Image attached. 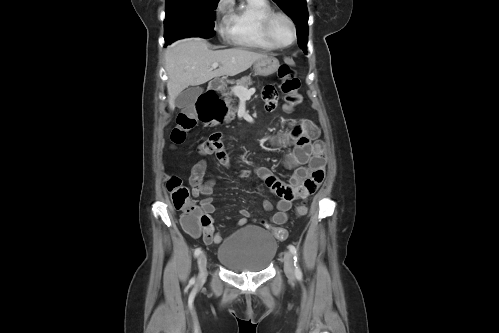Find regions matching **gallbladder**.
I'll return each mask as SVG.
<instances>
[{
  "mask_svg": "<svg viewBox=\"0 0 499 333\" xmlns=\"http://www.w3.org/2000/svg\"><path fill=\"white\" fill-rule=\"evenodd\" d=\"M202 92L203 88L198 86H193L184 90L176 97L175 106L180 109L191 108Z\"/></svg>",
  "mask_w": 499,
  "mask_h": 333,
  "instance_id": "gallbladder-1",
  "label": "gallbladder"
}]
</instances>
